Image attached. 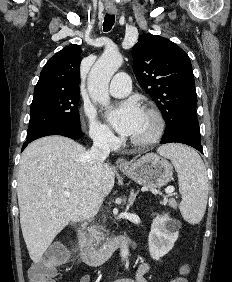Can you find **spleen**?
<instances>
[{
    "instance_id": "3e777b00",
    "label": "spleen",
    "mask_w": 232,
    "mask_h": 282,
    "mask_svg": "<svg viewBox=\"0 0 232 282\" xmlns=\"http://www.w3.org/2000/svg\"><path fill=\"white\" fill-rule=\"evenodd\" d=\"M158 152L171 160L178 174L182 217L191 224L199 223L208 198V179L202 159L195 150L180 144L162 146Z\"/></svg>"
}]
</instances>
